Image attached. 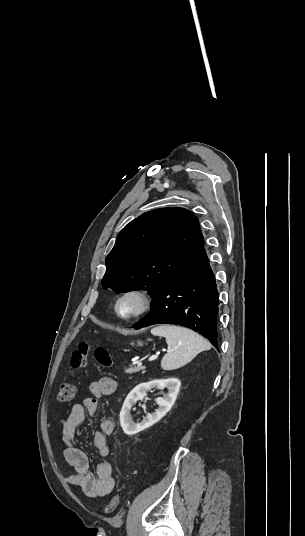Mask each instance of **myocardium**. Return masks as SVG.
Returning <instances> with one entry per match:
<instances>
[{"instance_id":"1","label":"myocardium","mask_w":305,"mask_h":536,"mask_svg":"<svg viewBox=\"0 0 305 536\" xmlns=\"http://www.w3.org/2000/svg\"><path fill=\"white\" fill-rule=\"evenodd\" d=\"M127 295H137V296L140 297V299L142 301V306H141L140 310L137 311L136 313H134L133 315L128 316V317L122 316L119 313V310H118L119 301L123 297H125ZM152 306H153V297H152L151 293L149 292V290L144 288V287L133 286V287H128V288L122 290L117 295V297L114 300L112 308H113L114 316L118 321L125 322V323H130V322H135V321H138V320L144 318L151 311Z\"/></svg>"}]
</instances>
